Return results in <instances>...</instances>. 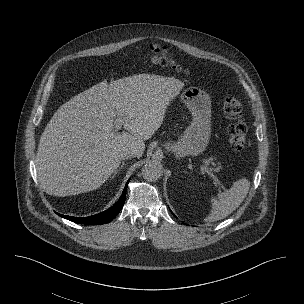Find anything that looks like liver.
Listing matches in <instances>:
<instances>
[{
  "instance_id": "6515ba94",
  "label": "liver",
  "mask_w": 304,
  "mask_h": 304,
  "mask_svg": "<svg viewBox=\"0 0 304 304\" xmlns=\"http://www.w3.org/2000/svg\"><path fill=\"white\" fill-rule=\"evenodd\" d=\"M183 87L178 79L144 73L100 82L64 103L40 137L35 163L42 189L64 197L99 188L127 150L142 156L144 140ZM118 119L126 131L115 130Z\"/></svg>"
}]
</instances>
